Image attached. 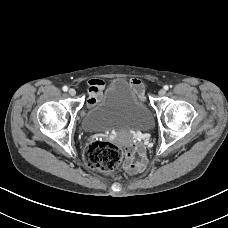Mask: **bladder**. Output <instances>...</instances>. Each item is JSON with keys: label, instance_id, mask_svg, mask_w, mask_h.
I'll list each match as a JSON object with an SVG mask.
<instances>
[{"label": "bladder", "instance_id": "obj_1", "mask_svg": "<svg viewBox=\"0 0 228 228\" xmlns=\"http://www.w3.org/2000/svg\"><path fill=\"white\" fill-rule=\"evenodd\" d=\"M81 127L87 133L148 131L153 127V117L135 86L115 79L88 107Z\"/></svg>", "mask_w": 228, "mask_h": 228}]
</instances>
